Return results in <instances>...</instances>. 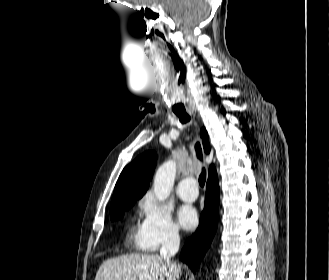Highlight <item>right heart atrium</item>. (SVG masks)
<instances>
[{
    "label": "right heart atrium",
    "instance_id": "obj_1",
    "mask_svg": "<svg viewBox=\"0 0 329 280\" xmlns=\"http://www.w3.org/2000/svg\"><path fill=\"white\" fill-rule=\"evenodd\" d=\"M139 207L143 216L139 235L146 250L156 251L163 245L179 240V228L173 222L169 210L151 194L141 199Z\"/></svg>",
    "mask_w": 329,
    "mask_h": 280
}]
</instances>
